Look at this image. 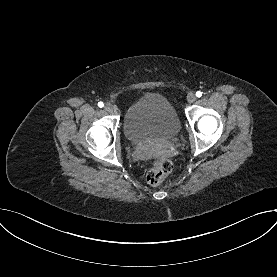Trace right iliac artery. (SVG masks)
Wrapping results in <instances>:
<instances>
[{
  "label": "right iliac artery",
  "mask_w": 277,
  "mask_h": 277,
  "mask_svg": "<svg viewBox=\"0 0 277 277\" xmlns=\"http://www.w3.org/2000/svg\"><path fill=\"white\" fill-rule=\"evenodd\" d=\"M98 106H99L100 108H102V107L104 106L103 102H99V103H98Z\"/></svg>",
  "instance_id": "obj_1"
}]
</instances>
